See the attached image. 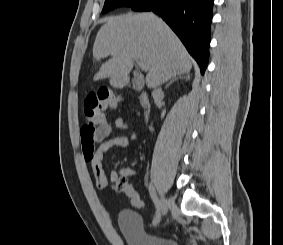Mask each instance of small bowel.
<instances>
[{"label": "small bowel", "mask_w": 283, "mask_h": 245, "mask_svg": "<svg viewBox=\"0 0 283 245\" xmlns=\"http://www.w3.org/2000/svg\"><path fill=\"white\" fill-rule=\"evenodd\" d=\"M114 124L117 129L125 131L127 135L110 137L113 128L106 121L100 125L85 124L80 130L83 157L90 164L96 188L100 190L108 187L116 189L119 178L128 179L137 172L132 167H120L111 171L109 179L105 174L102 163L104 155L113 147L127 148L136 138L135 130L122 117H117Z\"/></svg>", "instance_id": "obj_1"}]
</instances>
